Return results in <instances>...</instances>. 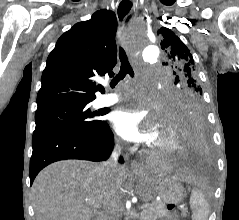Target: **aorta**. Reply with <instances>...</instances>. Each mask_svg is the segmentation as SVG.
I'll return each mask as SVG.
<instances>
[{
    "label": "aorta",
    "instance_id": "1",
    "mask_svg": "<svg viewBox=\"0 0 239 220\" xmlns=\"http://www.w3.org/2000/svg\"><path fill=\"white\" fill-rule=\"evenodd\" d=\"M143 33H128L127 40H142ZM129 48H143L142 57L144 61L150 62L156 59L159 55L157 45H128Z\"/></svg>",
    "mask_w": 239,
    "mask_h": 220
}]
</instances>
